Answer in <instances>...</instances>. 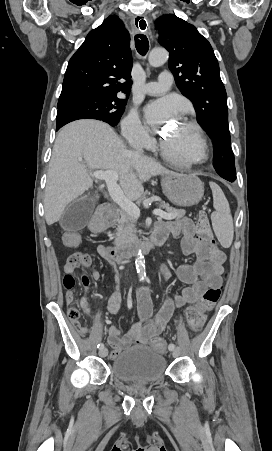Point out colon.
Wrapping results in <instances>:
<instances>
[{
  "instance_id": "obj_1",
  "label": "colon",
  "mask_w": 272,
  "mask_h": 451,
  "mask_svg": "<svg viewBox=\"0 0 272 451\" xmlns=\"http://www.w3.org/2000/svg\"><path fill=\"white\" fill-rule=\"evenodd\" d=\"M198 225L200 227V239L206 246L214 250L216 244L214 242L212 232L210 230L209 220L205 211H201L198 217ZM63 239H66V249L76 250L77 249V232L76 230H63ZM217 254V253H215ZM91 264L90 256L85 252H74L68 256L66 262L67 271L75 269H87ZM62 287L63 289H76L77 282L73 280L72 274H63L62 276ZM222 294V288H210L203 294L199 306H191L186 310V319L193 331L199 330L204 322V313L211 310L219 301ZM69 317L72 323L79 327L78 318L79 312L77 309H71L69 311ZM79 331H83L79 327ZM154 351H170V342H164L159 339L154 342Z\"/></svg>"
}]
</instances>
